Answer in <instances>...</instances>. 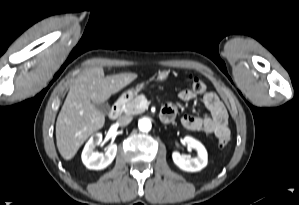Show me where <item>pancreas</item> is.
<instances>
[{
	"instance_id": "obj_1",
	"label": "pancreas",
	"mask_w": 299,
	"mask_h": 205,
	"mask_svg": "<svg viewBox=\"0 0 299 205\" xmlns=\"http://www.w3.org/2000/svg\"><path fill=\"white\" fill-rule=\"evenodd\" d=\"M145 100H147V98L143 94L136 96L132 100H129L123 107L124 113L127 115H136L143 113L146 108L140 107V103Z\"/></svg>"
}]
</instances>
